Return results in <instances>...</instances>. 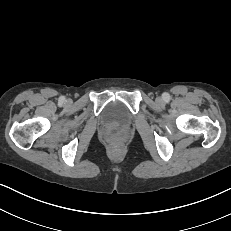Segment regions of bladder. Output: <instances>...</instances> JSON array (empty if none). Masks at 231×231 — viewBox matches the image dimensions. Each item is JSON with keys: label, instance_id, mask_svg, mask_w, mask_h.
I'll use <instances>...</instances> for the list:
<instances>
[{"label": "bladder", "instance_id": "obj_1", "mask_svg": "<svg viewBox=\"0 0 231 231\" xmlns=\"http://www.w3.org/2000/svg\"><path fill=\"white\" fill-rule=\"evenodd\" d=\"M131 115L129 111L120 103H109L102 114V121L110 127L122 128L129 124Z\"/></svg>", "mask_w": 231, "mask_h": 231}]
</instances>
